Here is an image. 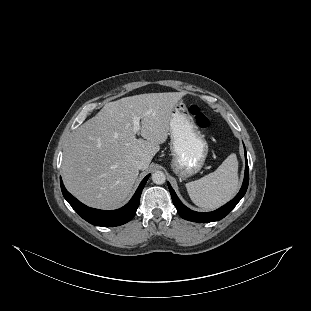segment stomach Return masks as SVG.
<instances>
[{
  "label": "stomach",
  "instance_id": "1",
  "mask_svg": "<svg viewBox=\"0 0 311 311\" xmlns=\"http://www.w3.org/2000/svg\"><path fill=\"white\" fill-rule=\"evenodd\" d=\"M170 168L180 180L196 175L203 167L209 146L183 102H178L170 121Z\"/></svg>",
  "mask_w": 311,
  "mask_h": 311
}]
</instances>
